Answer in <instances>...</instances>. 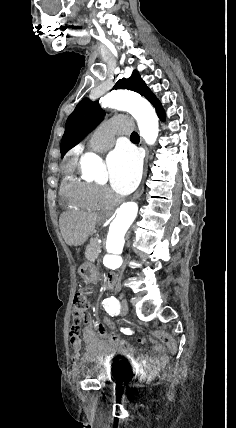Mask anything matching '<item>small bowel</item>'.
Instances as JSON below:
<instances>
[{
	"mask_svg": "<svg viewBox=\"0 0 236 428\" xmlns=\"http://www.w3.org/2000/svg\"><path fill=\"white\" fill-rule=\"evenodd\" d=\"M82 340L85 344V353L82 357L85 362H96L111 359H124L136 370H147L161 366L166 361L164 349L159 344L152 345L149 356H136L133 347L125 340L114 335H108L105 327L97 326L90 316H85ZM72 359L78 362L81 358V339L70 336Z\"/></svg>",
	"mask_w": 236,
	"mask_h": 428,
	"instance_id": "c3829d8e",
	"label": "small bowel"
}]
</instances>
